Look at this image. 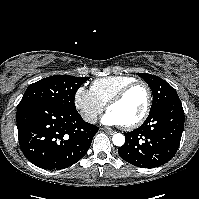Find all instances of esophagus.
Returning a JSON list of instances; mask_svg holds the SVG:
<instances>
[{"instance_id": "esophagus-1", "label": "esophagus", "mask_w": 199, "mask_h": 199, "mask_svg": "<svg viewBox=\"0 0 199 199\" xmlns=\"http://www.w3.org/2000/svg\"><path fill=\"white\" fill-rule=\"evenodd\" d=\"M103 130L105 131V132H107L108 134H114L115 133V131H113V130H111V129H108V128H103Z\"/></svg>"}]
</instances>
